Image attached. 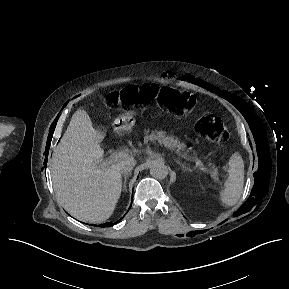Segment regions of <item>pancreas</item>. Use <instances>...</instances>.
<instances>
[{"label":"pancreas","mask_w":289,"mask_h":289,"mask_svg":"<svg viewBox=\"0 0 289 289\" xmlns=\"http://www.w3.org/2000/svg\"><path fill=\"white\" fill-rule=\"evenodd\" d=\"M145 142L151 141V142H158L160 144L168 145V148L175 150L177 153H180V151H184L185 145L178 141L177 139L166 136L165 132L163 131H152L151 133L149 130L145 131ZM210 174L212 175L213 178L217 179L218 178V170L214 167L211 166L209 170Z\"/></svg>","instance_id":"pancreas-1"}]
</instances>
